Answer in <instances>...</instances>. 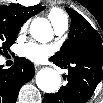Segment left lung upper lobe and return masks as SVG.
Masks as SVG:
<instances>
[{
	"label": "left lung upper lobe",
	"mask_w": 103,
	"mask_h": 103,
	"mask_svg": "<svg viewBox=\"0 0 103 103\" xmlns=\"http://www.w3.org/2000/svg\"><path fill=\"white\" fill-rule=\"evenodd\" d=\"M71 17V28L68 39L64 42L60 51L51 58L59 61H67L74 55L89 56V42H100L101 37L91 24L78 12L66 8Z\"/></svg>",
	"instance_id": "left-lung-upper-lobe-1"
}]
</instances>
